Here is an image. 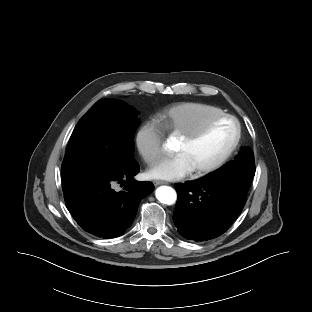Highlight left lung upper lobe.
<instances>
[{"instance_id": "5c2ea615", "label": "left lung upper lobe", "mask_w": 312, "mask_h": 312, "mask_svg": "<svg viewBox=\"0 0 312 312\" xmlns=\"http://www.w3.org/2000/svg\"><path fill=\"white\" fill-rule=\"evenodd\" d=\"M255 175L254 153L249 148L241 150L238 156L208 177H221L230 180L246 194Z\"/></svg>"}]
</instances>
